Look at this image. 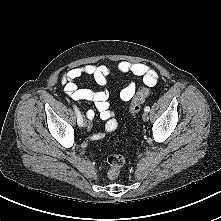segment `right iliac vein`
Segmentation results:
<instances>
[{"mask_svg": "<svg viewBox=\"0 0 221 221\" xmlns=\"http://www.w3.org/2000/svg\"><path fill=\"white\" fill-rule=\"evenodd\" d=\"M87 123L86 120H83L82 126L86 127Z\"/></svg>", "mask_w": 221, "mask_h": 221, "instance_id": "right-iliac-vein-1", "label": "right iliac vein"}]
</instances>
